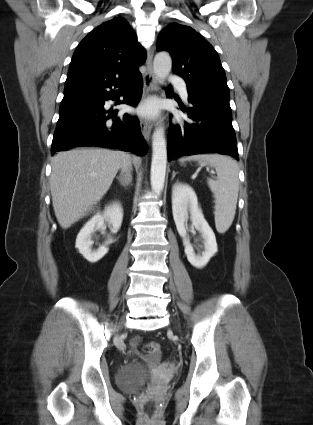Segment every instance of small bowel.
Instances as JSON below:
<instances>
[{"instance_id":"c3829d8e","label":"small bowel","mask_w":313,"mask_h":425,"mask_svg":"<svg viewBox=\"0 0 313 425\" xmlns=\"http://www.w3.org/2000/svg\"><path fill=\"white\" fill-rule=\"evenodd\" d=\"M133 344H134V345H136V344H137V340H134V341H133Z\"/></svg>"}]
</instances>
